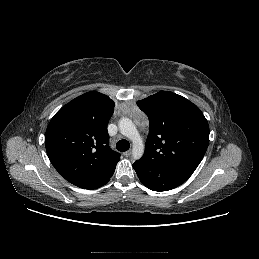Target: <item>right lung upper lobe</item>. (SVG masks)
Listing matches in <instances>:
<instances>
[{"mask_svg": "<svg viewBox=\"0 0 259 259\" xmlns=\"http://www.w3.org/2000/svg\"><path fill=\"white\" fill-rule=\"evenodd\" d=\"M114 102L90 91L63 106L45 133L47 155L70 183L92 189L113 175L120 154L109 147L107 124Z\"/></svg>", "mask_w": 259, "mask_h": 259, "instance_id": "cb5924a9", "label": "right lung upper lobe"}]
</instances>
